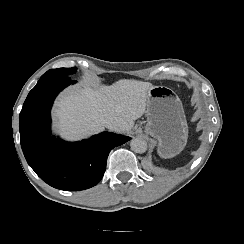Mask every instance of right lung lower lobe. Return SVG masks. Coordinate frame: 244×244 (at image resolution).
Instances as JSON below:
<instances>
[{"instance_id":"98d812e1","label":"right lung lower lobe","mask_w":244,"mask_h":244,"mask_svg":"<svg viewBox=\"0 0 244 244\" xmlns=\"http://www.w3.org/2000/svg\"><path fill=\"white\" fill-rule=\"evenodd\" d=\"M75 83L69 76L41 78L28 94L19 117L21 147L36 174L50 186L78 191L103 177L109 152L131 138L103 132L76 143L51 136L50 110L57 94Z\"/></svg>"}]
</instances>
